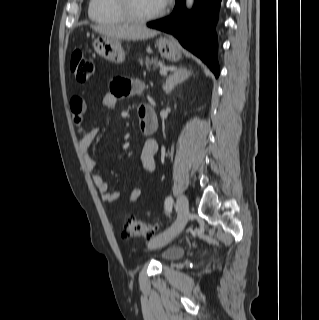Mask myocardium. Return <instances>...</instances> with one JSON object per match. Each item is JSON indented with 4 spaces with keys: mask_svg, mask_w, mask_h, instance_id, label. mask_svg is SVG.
Masks as SVG:
<instances>
[{
    "mask_svg": "<svg viewBox=\"0 0 319 320\" xmlns=\"http://www.w3.org/2000/svg\"><path fill=\"white\" fill-rule=\"evenodd\" d=\"M120 13L132 23H146L160 18L165 10L161 8L150 15H139L133 8L132 0H115Z\"/></svg>",
    "mask_w": 319,
    "mask_h": 320,
    "instance_id": "myocardium-1",
    "label": "myocardium"
}]
</instances>
